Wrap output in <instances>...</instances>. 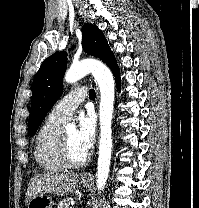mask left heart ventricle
Masks as SVG:
<instances>
[{"label": "left heart ventricle", "instance_id": "1", "mask_svg": "<svg viewBox=\"0 0 199 208\" xmlns=\"http://www.w3.org/2000/svg\"><path fill=\"white\" fill-rule=\"evenodd\" d=\"M65 136H66V139L68 141L71 156L75 160H80L83 157H85L87 153L79 147V145L77 143L76 132L75 131H70V132L66 133Z\"/></svg>", "mask_w": 199, "mask_h": 208}]
</instances>
